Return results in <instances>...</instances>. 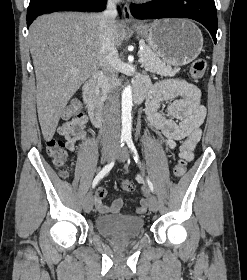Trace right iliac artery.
<instances>
[{"label": "right iliac artery", "mask_w": 247, "mask_h": 280, "mask_svg": "<svg viewBox=\"0 0 247 280\" xmlns=\"http://www.w3.org/2000/svg\"><path fill=\"white\" fill-rule=\"evenodd\" d=\"M126 141L125 137H121L120 139V147L124 146V142ZM114 160H112L110 163H108L99 173L98 175L94 178L93 182H92V188H95L97 186V184L99 183V181L106 175L109 173V171L112 169V167L114 166Z\"/></svg>", "instance_id": "82829eb1"}]
</instances>
